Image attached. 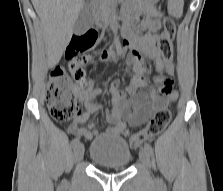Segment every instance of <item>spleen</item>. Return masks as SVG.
<instances>
[{"mask_svg": "<svg viewBox=\"0 0 223 191\" xmlns=\"http://www.w3.org/2000/svg\"><path fill=\"white\" fill-rule=\"evenodd\" d=\"M183 6H184L183 0H168L169 13L176 18L182 16Z\"/></svg>", "mask_w": 223, "mask_h": 191, "instance_id": "3e777b00", "label": "spleen"}]
</instances>
